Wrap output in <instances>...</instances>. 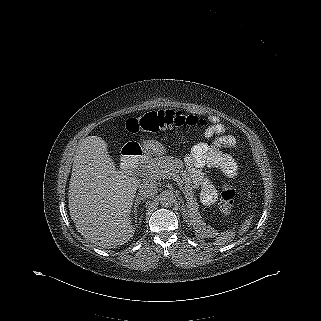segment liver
Listing matches in <instances>:
<instances>
[{
    "label": "liver",
    "mask_w": 321,
    "mask_h": 321,
    "mask_svg": "<svg viewBox=\"0 0 321 321\" xmlns=\"http://www.w3.org/2000/svg\"><path fill=\"white\" fill-rule=\"evenodd\" d=\"M140 180L116 170L106 142L88 136L78 145L68 191V207L78 232L110 249L134 235L130 213Z\"/></svg>",
    "instance_id": "liver-1"
}]
</instances>
